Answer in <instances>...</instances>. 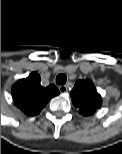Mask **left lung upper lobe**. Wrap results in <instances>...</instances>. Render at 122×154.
Listing matches in <instances>:
<instances>
[{
	"label": "left lung upper lobe",
	"instance_id": "1",
	"mask_svg": "<svg viewBox=\"0 0 122 154\" xmlns=\"http://www.w3.org/2000/svg\"><path fill=\"white\" fill-rule=\"evenodd\" d=\"M71 99L80 114L84 116L92 115L96 109L100 108L102 99L91 80H78L71 91Z\"/></svg>",
	"mask_w": 122,
	"mask_h": 154
}]
</instances>
